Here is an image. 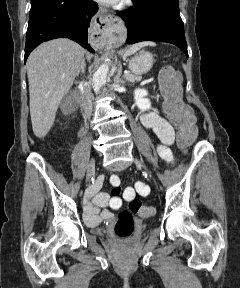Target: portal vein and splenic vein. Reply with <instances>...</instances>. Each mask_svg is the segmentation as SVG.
<instances>
[{"label": "portal vein and splenic vein", "mask_w": 240, "mask_h": 288, "mask_svg": "<svg viewBox=\"0 0 240 288\" xmlns=\"http://www.w3.org/2000/svg\"><path fill=\"white\" fill-rule=\"evenodd\" d=\"M125 75H129V72H125Z\"/></svg>", "instance_id": "18ae733b"}]
</instances>
